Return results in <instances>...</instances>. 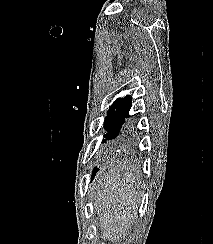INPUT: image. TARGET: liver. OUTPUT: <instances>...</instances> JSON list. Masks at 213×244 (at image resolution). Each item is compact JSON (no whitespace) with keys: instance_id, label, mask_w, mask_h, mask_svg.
<instances>
[{"instance_id":"obj_1","label":"liver","mask_w":213,"mask_h":244,"mask_svg":"<svg viewBox=\"0 0 213 244\" xmlns=\"http://www.w3.org/2000/svg\"><path fill=\"white\" fill-rule=\"evenodd\" d=\"M94 182L98 227L106 238L118 240L135 219L141 200L140 176L123 171L120 164L109 163L101 168Z\"/></svg>"}]
</instances>
